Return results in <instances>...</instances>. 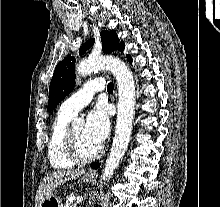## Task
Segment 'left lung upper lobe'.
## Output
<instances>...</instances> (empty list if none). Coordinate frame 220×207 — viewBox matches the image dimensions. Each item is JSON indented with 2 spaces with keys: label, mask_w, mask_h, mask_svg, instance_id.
I'll return each mask as SVG.
<instances>
[{
  "label": "left lung upper lobe",
  "mask_w": 220,
  "mask_h": 207,
  "mask_svg": "<svg viewBox=\"0 0 220 207\" xmlns=\"http://www.w3.org/2000/svg\"><path fill=\"white\" fill-rule=\"evenodd\" d=\"M101 41L103 52L111 53L115 50L123 52L125 44L120 42L115 31H102ZM94 43V39H90L84 43L79 53L83 55ZM75 57L68 56L58 63L54 70V74L49 87L48 111L51 112L66 95H68L75 85Z\"/></svg>",
  "instance_id": "left-lung-upper-lobe-1"
}]
</instances>
